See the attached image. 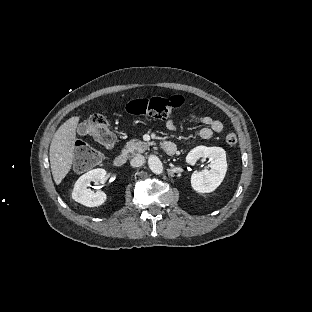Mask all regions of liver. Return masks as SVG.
I'll return each instance as SVG.
<instances>
[{
  "label": "liver",
  "mask_w": 312,
  "mask_h": 312,
  "mask_svg": "<svg viewBox=\"0 0 312 312\" xmlns=\"http://www.w3.org/2000/svg\"><path fill=\"white\" fill-rule=\"evenodd\" d=\"M81 116H73L55 132L50 147V165L53 179L59 185L72 168L77 127Z\"/></svg>",
  "instance_id": "obj_1"
}]
</instances>
